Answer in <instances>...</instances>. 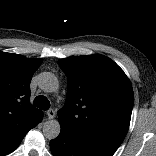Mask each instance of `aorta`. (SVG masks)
Wrapping results in <instances>:
<instances>
[{
	"mask_svg": "<svg viewBox=\"0 0 156 156\" xmlns=\"http://www.w3.org/2000/svg\"><path fill=\"white\" fill-rule=\"evenodd\" d=\"M38 86L44 92L50 93L58 89V80L56 76L50 72H43L39 75ZM61 126L58 120H48L43 125V134L49 139H55L59 136Z\"/></svg>",
	"mask_w": 156,
	"mask_h": 156,
	"instance_id": "aorta-1",
	"label": "aorta"
}]
</instances>
